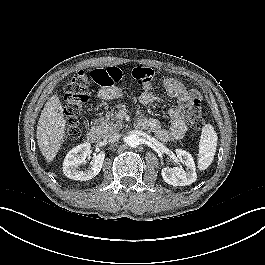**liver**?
<instances>
[{"mask_svg":"<svg viewBox=\"0 0 265 265\" xmlns=\"http://www.w3.org/2000/svg\"><path fill=\"white\" fill-rule=\"evenodd\" d=\"M66 120L63 108L57 95H53L46 102L36 131L39 149L48 163H51L64 142Z\"/></svg>","mask_w":265,"mask_h":265,"instance_id":"liver-1","label":"liver"}]
</instances>
